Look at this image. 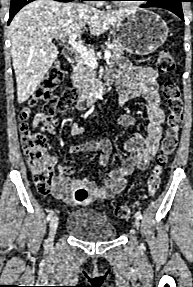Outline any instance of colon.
<instances>
[{"instance_id":"obj_1","label":"colon","mask_w":193,"mask_h":287,"mask_svg":"<svg viewBox=\"0 0 193 287\" xmlns=\"http://www.w3.org/2000/svg\"><path fill=\"white\" fill-rule=\"evenodd\" d=\"M156 65L161 73H169L174 69V59L167 49L159 51L156 58ZM64 77V71L59 63H54L44 75L38 88L36 89L33 104L43 102L40 115L52 118L58 112H64L69 105L78 98L75 89H67L59 96H53V90ZM162 94L167 103L168 117L167 129L161 141L160 151L155 160L151 174L147 179V188L141 199L135 204L120 205L114 210V215L118 219H126L132 210L152 197L158 190L161 182V174L168 162V158L175 151L178 142L179 130L183 122V103L179 86L172 80H166L162 86ZM30 116L29 108L21 111L22 138L21 144L31 172L32 181L39 193H49L54 184V171L47 156V138L40 133H33L29 130L27 120ZM89 193L86 189L75 190L73 199L77 203L87 200Z\"/></svg>"}]
</instances>
